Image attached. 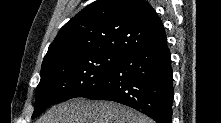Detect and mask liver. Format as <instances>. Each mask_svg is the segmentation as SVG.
<instances>
[{
  "label": "liver",
  "mask_w": 221,
  "mask_h": 123,
  "mask_svg": "<svg viewBox=\"0 0 221 123\" xmlns=\"http://www.w3.org/2000/svg\"><path fill=\"white\" fill-rule=\"evenodd\" d=\"M37 123H153V121L121 104L77 98L52 107Z\"/></svg>",
  "instance_id": "6515ba94"
}]
</instances>
